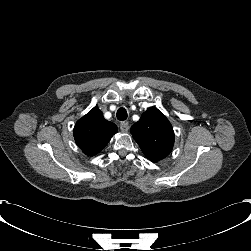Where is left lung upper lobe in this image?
<instances>
[{
    "mask_svg": "<svg viewBox=\"0 0 251 251\" xmlns=\"http://www.w3.org/2000/svg\"><path fill=\"white\" fill-rule=\"evenodd\" d=\"M130 132L145 156L158 162L172 151L174 131L168 119L155 107L148 108Z\"/></svg>",
    "mask_w": 251,
    "mask_h": 251,
    "instance_id": "obj_1",
    "label": "left lung upper lobe"
}]
</instances>
